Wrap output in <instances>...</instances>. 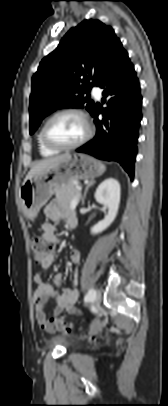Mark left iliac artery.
<instances>
[{
    "instance_id": "left-iliac-artery-1",
    "label": "left iliac artery",
    "mask_w": 168,
    "mask_h": 406,
    "mask_svg": "<svg viewBox=\"0 0 168 406\" xmlns=\"http://www.w3.org/2000/svg\"><path fill=\"white\" fill-rule=\"evenodd\" d=\"M94 294H95V290H94V289H90V290L88 291V293L85 295L84 301H85V302L92 301V300H93V297H94Z\"/></svg>"
}]
</instances>
